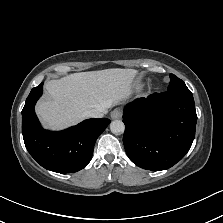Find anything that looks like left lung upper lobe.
I'll use <instances>...</instances> for the list:
<instances>
[{"instance_id": "5c2ea615", "label": "left lung upper lobe", "mask_w": 223, "mask_h": 223, "mask_svg": "<svg viewBox=\"0 0 223 223\" xmlns=\"http://www.w3.org/2000/svg\"><path fill=\"white\" fill-rule=\"evenodd\" d=\"M167 91L191 93L185 83L174 74H170V84Z\"/></svg>"}]
</instances>
